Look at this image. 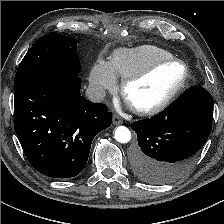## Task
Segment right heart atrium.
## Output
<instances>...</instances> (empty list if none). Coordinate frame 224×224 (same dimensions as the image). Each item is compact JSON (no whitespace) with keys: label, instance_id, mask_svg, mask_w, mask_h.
Segmentation results:
<instances>
[{"label":"right heart atrium","instance_id":"d8ad5b80","mask_svg":"<svg viewBox=\"0 0 224 224\" xmlns=\"http://www.w3.org/2000/svg\"><path fill=\"white\" fill-rule=\"evenodd\" d=\"M89 81L97 98H101L105 91L113 90L117 86L116 75L113 73L110 64L103 60H99L93 66Z\"/></svg>","mask_w":224,"mask_h":224}]
</instances>
